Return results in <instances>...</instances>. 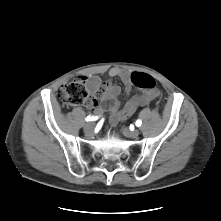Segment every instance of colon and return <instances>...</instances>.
Segmentation results:
<instances>
[{"instance_id":"5ec220e1","label":"colon","mask_w":221,"mask_h":221,"mask_svg":"<svg viewBox=\"0 0 221 221\" xmlns=\"http://www.w3.org/2000/svg\"><path fill=\"white\" fill-rule=\"evenodd\" d=\"M133 83L142 89H153L155 81L150 75H133ZM58 97L65 105H80L87 101L88 93L85 87V80L76 77L68 81L59 91Z\"/></svg>"}]
</instances>
